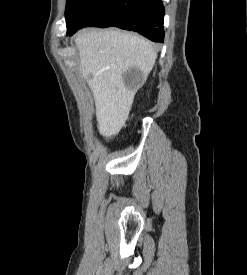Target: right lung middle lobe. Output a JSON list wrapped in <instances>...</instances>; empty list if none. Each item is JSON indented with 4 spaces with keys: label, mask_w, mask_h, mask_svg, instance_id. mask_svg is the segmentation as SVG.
I'll return each instance as SVG.
<instances>
[{
    "label": "right lung middle lobe",
    "mask_w": 247,
    "mask_h": 275,
    "mask_svg": "<svg viewBox=\"0 0 247 275\" xmlns=\"http://www.w3.org/2000/svg\"><path fill=\"white\" fill-rule=\"evenodd\" d=\"M101 1L102 0H67L65 11L67 29L75 24L81 14Z\"/></svg>",
    "instance_id": "obj_1"
}]
</instances>
